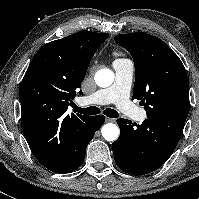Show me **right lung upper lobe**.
Returning a JSON list of instances; mask_svg holds the SVG:
<instances>
[{"instance_id": "cb5924a9", "label": "right lung upper lobe", "mask_w": 199, "mask_h": 199, "mask_svg": "<svg viewBox=\"0 0 199 199\" xmlns=\"http://www.w3.org/2000/svg\"><path fill=\"white\" fill-rule=\"evenodd\" d=\"M107 37L106 33L82 31L38 50L20 87L24 134H37L47 146H59L78 124L90 117L66 111L81 87L91 58Z\"/></svg>"}]
</instances>
